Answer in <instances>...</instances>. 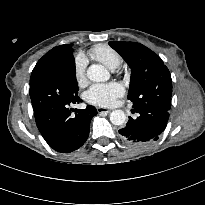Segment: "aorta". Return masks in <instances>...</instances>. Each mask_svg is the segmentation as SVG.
<instances>
[{
	"label": "aorta",
	"mask_w": 205,
	"mask_h": 205,
	"mask_svg": "<svg viewBox=\"0 0 205 205\" xmlns=\"http://www.w3.org/2000/svg\"><path fill=\"white\" fill-rule=\"evenodd\" d=\"M87 77L92 82L107 81L110 78L108 70L100 64H93L87 69ZM110 121L114 125H123L126 121V115L122 110H114L110 114Z\"/></svg>",
	"instance_id": "obj_1"
}]
</instances>
